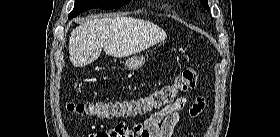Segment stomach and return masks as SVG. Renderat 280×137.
<instances>
[{"label": "stomach", "mask_w": 280, "mask_h": 137, "mask_svg": "<svg viewBox=\"0 0 280 137\" xmlns=\"http://www.w3.org/2000/svg\"><path fill=\"white\" fill-rule=\"evenodd\" d=\"M144 63L145 59L140 56H133L125 61V64L127 65L129 70H137L138 68L142 67Z\"/></svg>", "instance_id": "0dacf381"}]
</instances>
